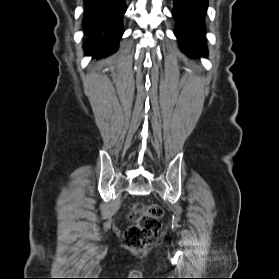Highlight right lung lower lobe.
<instances>
[{"label": "right lung lower lobe", "mask_w": 279, "mask_h": 279, "mask_svg": "<svg viewBox=\"0 0 279 279\" xmlns=\"http://www.w3.org/2000/svg\"><path fill=\"white\" fill-rule=\"evenodd\" d=\"M84 5L85 53L99 57L114 53L124 32L125 0H84Z\"/></svg>", "instance_id": "right-lung-lower-lobe-1"}]
</instances>
